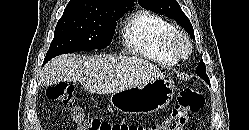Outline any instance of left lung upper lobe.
<instances>
[{"mask_svg":"<svg viewBox=\"0 0 249 130\" xmlns=\"http://www.w3.org/2000/svg\"><path fill=\"white\" fill-rule=\"evenodd\" d=\"M138 3L147 10H151L155 13L163 14L171 19H174L187 31L188 34H190L192 38H195L192 24L181 10V7L176 0H138ZM196 73L210 85V80L206 74L203 60H200V64L196 68Z\"/></svg>","mask_w":249,"mask_h":130,"instance_id":"obj_1","label":"left lung upper lobe"}]
</instances>
